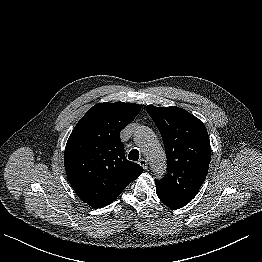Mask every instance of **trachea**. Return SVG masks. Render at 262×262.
Masks as SVG:
<instances>
[{"label": "trachea", "mask_w": 262, "mask_h": 262, "mask_svg": "<svg viewBox=\"0 0 262 262\" xmlns=\"http://www.w3.org/2000/svg\"><path fill=\"white\" fill-rule=\"evenodd\" d=\"M128 159L132 161H138L139 159V151L137 149H133L130 151L128 155Z\"/></svg>", "instance_id": "trachea-1"}]
</instances>
